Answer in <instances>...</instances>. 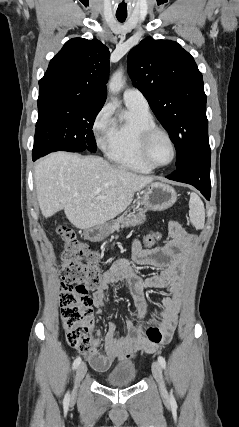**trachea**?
Segmentation results:
<instances>
[{"instance_id":"1","label":"trachea","mask_w":239,"mask_h":427,"mask_svg":"<svg viewBox=\"0 0 239 427\" xmlns=\"http://www.w3.org/2000/svg\"><path fill=\"white\" fill-rule=\"evenodd\" d=\"M117 19L119 22H124L126 20L127 16H123V15H116Z\"/></svg>"}]
</instances>
